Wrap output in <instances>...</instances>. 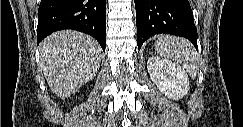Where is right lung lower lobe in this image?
Here are the masks:
<instances>
[{
  "instance_id": "98d812e1",
  "label": "right lung lower lobe",
  "mask_w": 243,
  "mask_h": 127,
  "mask_svg": "<svg viewBox=\"0 0 243 127\" xmlns=\"http://www.w3.org/2000/svg\"><path fill=\"white\" fill-rule=\"evenodd\" d=\"M63 29H73L93 36L105 51L106 0H41L37 43Z\"/></svg>"
}]
</instances>
